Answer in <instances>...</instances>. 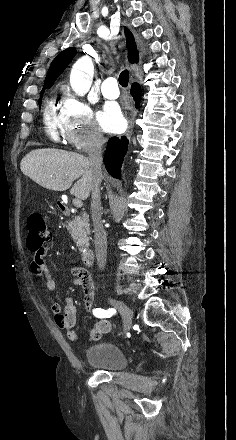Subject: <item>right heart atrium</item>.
Listing matches in <instances>:
<instances>
[{
	"mask_svg": "<svg viewBox=\"0 0 236 440\" xmlns=\"http://www.w3.org/2000/svg\"><path fill=\"white\" fill-rule=\"evenodd\" d=\"M60 119L64 141L76 150H96L103 145L104 136L91 106L68 91H64Z\"/></svg>",
	"mask_w": 236,
	"mask_h": 440,
	"instance_id": "obj_1",
	"label": "right heart atrium"
}]
</instances>
